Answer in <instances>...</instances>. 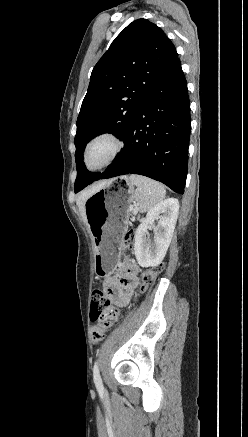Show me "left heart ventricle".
Returning a JSON list of instances; mask_svg holds the SVG:
<instances>
[{
    "instance_id": "b2bd125f",
    "label": "left heart ventricle",
    "mask_w": 248,
    "mask_h": 437,
    "mask_svg": "<svg viewBox=\"0 0 248 437\" xmlns=\"http://www.w3.org/2000/svg\"><path fill=\"white\" fill-rule=\"evenodd\" d=\"M112 145L108 141H100L96 143L89 154V161L91 165L100 163L110 152Z\"/></svg>"
}]
</instances>
